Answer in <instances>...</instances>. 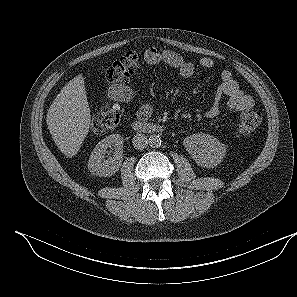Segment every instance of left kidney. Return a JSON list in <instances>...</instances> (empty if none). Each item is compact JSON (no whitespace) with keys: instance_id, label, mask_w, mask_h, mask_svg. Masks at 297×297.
I'll return each mask as SVG.
<instances>
[{"instance_id":"1","label":"left kidney","mask_w":297,"mask_h":297,"mask_svg":"<svg viewBox=\"0 0 297 297\" xmlns=\"http://www.w3.org/2000/svg\"><path fill=\"white\" fill-rule=\"evenodd\" d=\"M183 144L193 160L201 167L217 166L226 155V146L209 134L190 135L184 139Z\"/></svg>"}]
</instances>
